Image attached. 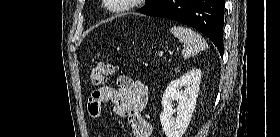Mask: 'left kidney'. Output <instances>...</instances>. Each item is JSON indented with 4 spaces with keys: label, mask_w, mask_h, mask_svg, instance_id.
<instances>
[{
    "label": "left kidney",
    "mask_w": 280,
    "mask_h": 137,
    "mask_svg": "<svg viewBox=\"0 0 280 137\" xmlns=\"http://www.w3.org/2000/svg\"><path fill=\"white\" fill-rule=\"evenodd\" d=\"M200 81L201 70L193 69L167 86L162 97L163 111L160 114L166 137H182L185 133L195 109ZM174 101L178 104L176 109H173ZM175 112L177 115L173 117Z\"/></svg>",
    "instance_id": "left-kidney-1"
}]
</instances>
